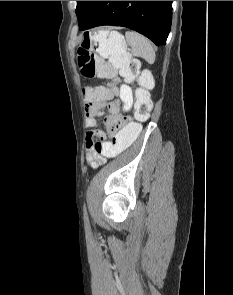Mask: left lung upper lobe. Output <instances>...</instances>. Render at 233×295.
<instances>
[{"mask_svg":"<svg viewBox=\"0 0 233 295\" xmlns=\"http://www.w3.org/2000/svg\"><path fill=\"white\" fill-rule=\"evenodd\" d=\"M97 3L98 1H77L76 14L79 21V29L88 21Z\"/></svg>","mask_w":233,"mask_h":295,"instance_id":"1","label":"left lung upper lobe"}]
</instances>
